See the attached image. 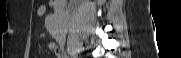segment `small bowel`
<instances>
[{"instance_id": "1", "label": "small bowel", "mask_w": 181, "mask_h": 58, "mask_svg": "<svg viewBox=\"0 0 181 58\" xmlns=\"http://www.w3.org/2000/svg\"><path fill=\"white\" fill-rule=\"evenodd\" d=\"M48 8H54L56 11L54 3L49 2L48 5H43L39 8L38 13L43 14ZM49 49L53 51L56 55H59V47L55 42L49 44Z\"/></svg>"}]
</instances>
